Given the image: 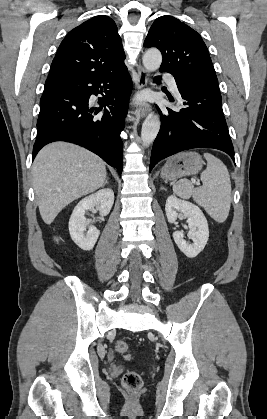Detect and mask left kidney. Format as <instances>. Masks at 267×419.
Segmentation results:
<instances>
[{
  "mask_svg": "<svg viewBox=\"0 0 267 419\" xmlns=\"http://www.w3.org/2000/svg\"><path fill=\"white\" fill-rule=\"evenodd\" d=\"M165 212L169 223H174L177 220L179 212L187 218L188 237L193 243L188 244L184 240L182 231H175L173 239L187 257H196L204 249L209 238L208 223L201 209L191 202L180 200L171 195L167 198Z\"/></svg>",
  "mask_w": 267,
  "mask_h": 419,
  "instance_id": "1",
  "label": "left kidney"
}]
</instances>
